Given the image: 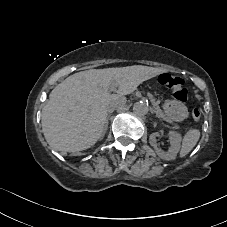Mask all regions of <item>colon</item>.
Wrapping results in <instances>:
<instances>
[{
  "mask_svg": "<svg viewBox=\"0 0 227 227\" xmlns=\"http://www.w3.org/2000/svg\"><path fill=\"white\" fill-rule=\"evenodd\" d=\"M159 83L171 92V95L177 101L183 102L188 98V90L182 78L163 73L159 77ZM202 112L198 108L192 110V117L194 120H199Z\"/></svg>",
  "mask_w": 227,
  "mask_h": 227,
  "instance_id": "1",
  "label": "colon"
}]
</instances>
